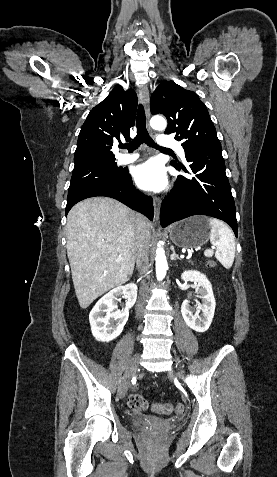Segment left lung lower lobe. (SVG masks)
<instances>
[{"label":"left lung lower lobe","mask_w":277,"mask_h":477,"mask_svg":"<svg viewBox=\"0 0 277 477\" xmlns=\"http://www.w3.org/2000/svg\"><path fill=\"white\" fill-rule=\"evenodd\" d=\"M189 171L171 163L177 170L193 173L192 179L178 176L174 188L162 202V227L192 215H207L225 221L238 235L236 209L225 173L221 147L185 151Z\"/></svg>","instance_id":"obj_1"}]
</instances>
